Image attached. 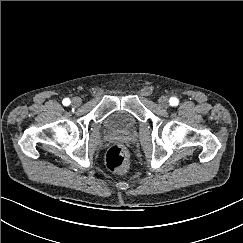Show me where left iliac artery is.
Listing matches in <instances>:
<instances>
[{
    "label": "left iliac artery",
    "mask_w": 243,
    "mask_h": 243,
    "mask_svg": "<svg viewBox=\"0 0 243 243\" xmlns=\"http://www.w3.org/2000/svg\"><path fill=\"white\" fill-rule=\"evenodd\" d=\"M169 102H170V105L177 106L179 103V100L176 97H172V98H170Z\"/></svg>",
    "instance_id": "obj_1"
}]
</instances>
